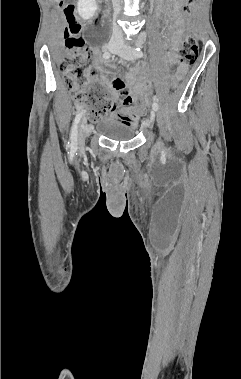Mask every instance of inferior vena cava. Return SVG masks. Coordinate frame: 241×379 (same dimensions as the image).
Returning <instances> with one entry per match:
<instances>
[{
  "label": "inferior vena cava",
  "instance_id": "602c4592",
  "mask_svg": "<svg viewBox=\"0 0 241 379\" xmlns=\"http://www.w3.org/2000/svg\"><path fill=\"white\" fill-rule=\"evenodd\" d=\"M113 4V9H114V19L116 16L120 13L121 11V0H112ZM112 39L117 40V41H123V33L121 29L116 25L114 22L113 25V34H112Z\"/></svg>",
  "mask_w": 241,
  "mask_h": 379
}]
</instances>
